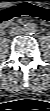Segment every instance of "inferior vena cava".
Listing matches in <instances>:
<instances>
[{"label":"inferior vena cava","mask_w":50,"mask_h":111,"mask_svg":"<svg viewBox=\"0 0 50 111\" xmlns=\"http://www.w3.org/2000/svg\"><path fill=\"white\" fill-rule=\"evenodd\" d=\"M22 33V28L17 26V27H11L9 30V34L11 36H16Z\"/></svg>","instance_id":"inferior-vena-cava-1"}]
</instances>
